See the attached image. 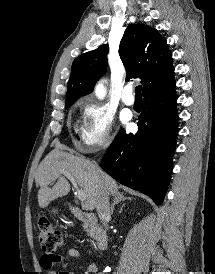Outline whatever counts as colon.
Here are the masks:
<instances>
[{
    "label": "colon",
    "mask_w": 215,
    "mask_h": 274,
    "mask_svg": "<svg viewBox=\"0 0 215 274\" xmlns=\"http://www.w3.org/2000/svg\"><path fill=\"white\" fill-rule=\"evenodd\" d=\"M37 226L39 231V241L43 251L54 254L63 242L61 232L56 229L50 220L44 215L38 217Z\"/></svg>",
    "instance_id": "colon-1"
}]
</instances>
